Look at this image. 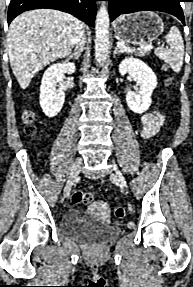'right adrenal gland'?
<instances>
[{"instance_id":"right-adrenal-gland-1","label":"right adrenal gland","mask_w":193,"mask_h":287,"mask_svg":"<svg viewBox=\"0 0 193 287\" xmlns=\"http://www.w3.org/2000/svg\"><path fill=\"white\" fill-rule=\"evenodd\" d=\"M81 53H82V51L76 47L73 54L69 56V59L78 60L79 57L81 56Z\"/></svg>"}]
</instances>
